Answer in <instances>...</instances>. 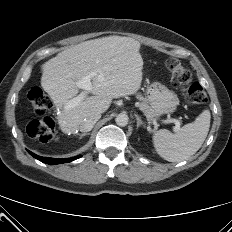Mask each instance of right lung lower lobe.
Masks as SVG:
<instances>
[{
	"mask_svg": "<svg viewBox=\"0 0 232 232\" xmlns=\"http://www.w3.org/2000/svg\"><path fill=\"white\" fill-rule=\"evenodd\" d=\"M28 152L36 159L40 160L41 162L43 163H47V164H61V163H67V162H71L75 159H78L81 157V155H78V156H75V157H72V158H67V159H56V158H49V157H41V156H38L34 153H32L31 151L28 150Z\"/></svg>",
	"mask_w": 232,
	"mask_h": 232,
	"instance_id": "obj_1",
	"label": "right lung lower lobe"
}]
</instances>
